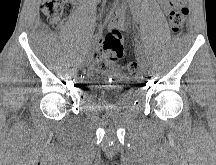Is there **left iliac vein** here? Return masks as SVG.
<instances>
[{
	"label": "left iliac vein",
	"instance_id": "left-iliac-vein-1",
	"mask_svg": "<svg viewBox=\"0 0 216 165\" xmlns=\"http://www.w3.org/2000/svg\"><path fill=\"white\" fill-rule=\"evenodd\" d=\"M139 62H140L141 69L143 71H147V69H148V63H147L146 59L144 57H141L140 60H139Z\"/></svg>",
	"mask_w": 216,
	"mask_h": 165
}]
</instances>
